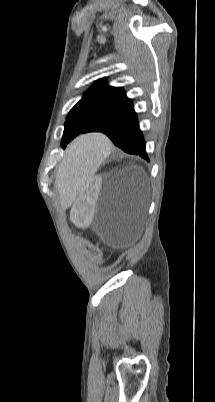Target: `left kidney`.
I'll return each mask as SVG.
<instances>
[{
	"label": "left kidney",
	"mask_w": 215,
	"mask_h": 402,
	"mask_svg": "<svg viewBox=\"0 0 215 402\" xmlns=\"http://www.w3.org/2000/svg\"><path fill=\"white\" fill-rule=\"evenodd\" d=\"M100 175H104V172H100ZM100 184L99 175H96L94 182L84 185V191L80 192V196L75 202L72 220L76 223L79 232H86L88 229L86 222L91 221L92 209L95 207L94 200L97 198V193L101 191Z\"/></svg>",
	"instance_id": "5707ae66"
}]
</instances>
